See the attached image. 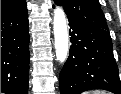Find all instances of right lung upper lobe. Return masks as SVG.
I'll return each mask as SVG.
<instances>
[{
  "label": "right lung upper lobe",
  "instance_id": "1",
  "mask_svg": "<svg viewBox=\"0 0 121 94\" xmlns=\"http://www.w3.org/2000/svg\"><path fill=\"white\" fill-rule=\"evenodd\" d=\"M24 1L25 0H1V13L19 6Z\"/></svg>",
  "mask_w": 121,
  "mask_h": 94
}]
</instances>
